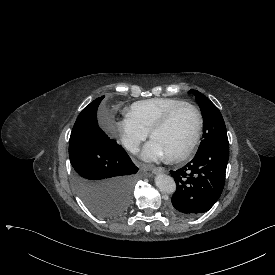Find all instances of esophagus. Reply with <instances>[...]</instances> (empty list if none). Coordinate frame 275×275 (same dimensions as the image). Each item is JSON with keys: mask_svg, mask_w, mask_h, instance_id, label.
Returning <instances> with one entry per match:
<instances>
[{"mask_svg": "<svg viewBox=\"0 0 275 275\" xmlns=\"http://www.w3.org/2000/svg\"><path fill=\"white\" fill-rule=\"evenodd\" d=\"M165 172H166V169L164 167H156L152 170L153 174H161Z\"/></svg>", "mask_w": 275, "mask_h": 275, "instance_id": "34e87169", "label": "esophagus"}]
</instances>
